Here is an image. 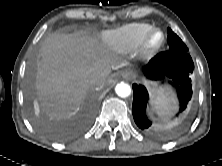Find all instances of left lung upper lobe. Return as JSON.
Here are the masks:
<instances>
[{"label":"left lung upper lobe","instance_id":"5c2ea615","mask_svg":"<svg viewBox=\"0 0 222 166\" xmlns=\"http://www.w3.org/2000/svg\"><path fill=\"white\" fill-rule=\"evenodd\" d=\"M168 45L169 50L189 52L184 42L170 28H168Z\"/></svg>","mask_w":222,"mask_h":166}]
</instances>
